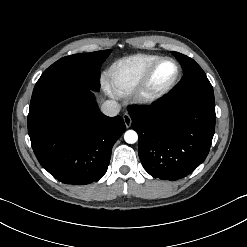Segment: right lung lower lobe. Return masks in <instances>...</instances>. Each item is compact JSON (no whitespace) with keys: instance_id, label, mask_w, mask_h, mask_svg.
I'll return each instance as SVG.
<instances>
[{"instance_id":"98d812e1","label":"right lung lower lobe","mask_w":247,"mask_h":247,"mask_svg":"<svg viewBox=\"0 0 247 247\" xmlns=\"http://www.w3.org/2000/svg\"><path fill=\"white\" fill-rule=\"evenodd\" d=\"M125 130L122 117L103 115L85 88L56 93L28 114V133L39 163L71 185L103 177L112 147Z\"/></svg>"}]
</instances>
